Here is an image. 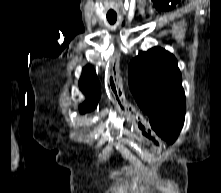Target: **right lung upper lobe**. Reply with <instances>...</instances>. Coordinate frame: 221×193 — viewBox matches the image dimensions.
Wrapping results in <instances>:
<instances>
[{
  "label": "right lung upper lobe",
  "instance_id": "right-lung-upper-lobe-1",
  "mask_svg": "<svg viewBox=\"0 0 221 193\" xmlns=\"http://www.w3.org/2000/svg\"><path fill=\"white\" fill-rule=\"evenodd\" d=\"M79 87L87 96L86 101L80 105V112H90L97 106L101 94L100 83L95 71L91 67L87 66L83 69L82 77L79 81Z\"/></svg>",
  "mask_w": 221,
  "mask_h": 193
}]
</instances>
